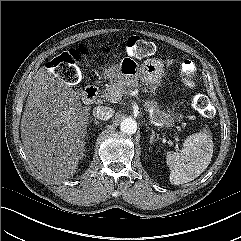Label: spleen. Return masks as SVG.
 <instances>
[{
    "instance_id": "spleen-1",
    "label": "spleen",
    "mask_w": 241,
    "mask_h": 241,
    "mask_svg": "<svg viewBox=\"0 0 241 241\" xmlns=\"http://www.w3.org/2000/svg\"><path fill=\"white\" fill-rule=\"evenodd\" d=\"M213 147L211 133L204 128L186 138L180 153L167 152L166 161L171 170V184L190 182L204 172L210 164Z\"/></svg>"
}]
</instances>
